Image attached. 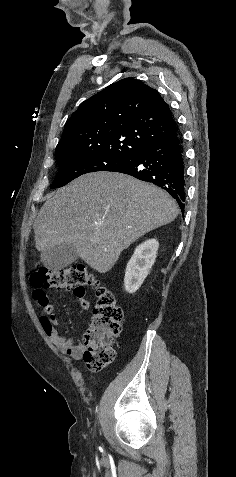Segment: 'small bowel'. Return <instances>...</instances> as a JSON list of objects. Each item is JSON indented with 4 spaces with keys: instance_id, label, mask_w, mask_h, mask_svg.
I'll list each match as a JSON object with an SVG mask.
<instances>
[{
    "instance_id": "obj_1",
    "label": "small bowel",
    "mask_w": 236,
    "mask_h": 477,
    "mask_svg": "<svg viewBox=\"0 0 236 477\" xmlns=\"http://www.w3.org/2000/svg\"><path fill=\"white\" fill-rule=\"evenodd\" d=\"M75 296L80 309L85 310L89 307V301L84 294H75ZM35 299L38 301L43 311V314L40 317V324L44 333L65 355L73 360L80 359L84 352V346L59 333L56 310L46 293L41 292L39 295L35 296Z\"/></svg>"
}]
</instances>
